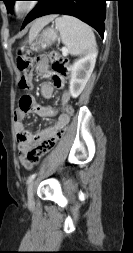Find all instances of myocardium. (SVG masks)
I'll return each instance as SVG.
<instances>
[{
  "label": "myocardium",
  "mask_w": 133,
  "mask_h": 253,
  "mask_svg": "<svg viewBox=\"0 0 133 253\" xmlns=\"http://www.w3.org/2000/svg\"><path fill=\"white\" fill-rule=\"evenodd\" d=\"M37 5L36 0H17L12 5V11L17 18H24L32 13Z\"/></svg>",
  "instance_id": "myocardium-1"
}]
</instances>
